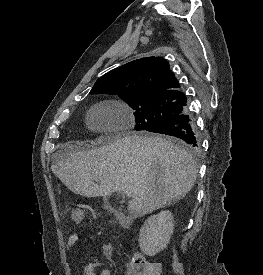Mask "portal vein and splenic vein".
Here are the masks:
<instances>
[{
  "mask_svg": "<svg viewBox=\"0 0 263 275\" xmlns=\"http://www.w3.org/2000/svg\"><path fill=\"white\" fill-rule=\"evenodd\" d=\"M124 193L126 194V196L131 197V193L129 191H124Z\"/></svg>",
  "mask_w": 263,
  "mask_h": 275,
  "instance_id": "18ae733b",
  "label": "portal vein and splenic vein"
}]
</instances>
